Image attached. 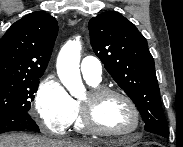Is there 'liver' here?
Returning <instances> with one entry per match:
<instances>
[{
  "instance_id": "1",
  "label": "liver",
  "mask_w": 183,
  "mask_h": 147,
  "mask_svg": "<svg viewBox=\"0 0 183 147\" xmlns=\"http://www.w3.org/2000/svg\"><path fill=\"white\" fill-rule=\"evenodd\" d=\"M101 142H68L52 140L45 137L25 133H12L0 136V147H95Z\"/></svg>"
}]
</instances>
